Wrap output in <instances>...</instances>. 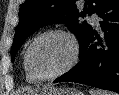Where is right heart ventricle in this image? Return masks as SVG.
I'll use <instances>...</instances> for the list:
<instances>
[{
  "label": "right heart ventricle",
  "mask_w": 119,
  "mask_h": 95,
  "mask_svg": "<svg viewBox=\"0 0 119 95\" xmlns=\"http://www.w3.org/2000/svg\"><path fill=\"white\" fill-rule=\"evenodd\" d=\"M27 51V49H26ZM26 51L24 53V56H23V67H24V72H25V76H26V79L30 82H36L38 81V79H36L28 70L27 68V65H26Z\"/></svg>",
  "instance_id": "obj_1"
}]
</instances>
